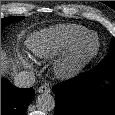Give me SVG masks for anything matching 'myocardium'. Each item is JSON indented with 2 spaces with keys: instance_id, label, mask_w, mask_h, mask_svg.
Masks as SVG:
<instances>
[{
  "instance_id": "myocardium-1",
  "label": "myocardium",
  "mask_w": 115,
  "mask_h": 115,
  "mask_svg": "<svg viewBox=\"0 0 115 115\" xmlns=\"http://www.w3.org/2000/svg\"><path fill=\"white\" fill-rule=\"evenodd\" d=\"M89 39L94 40V46L85 48ZM100 50V39L96 33L87 32L78 38L68 49L66 55L57 64L56 71L60 76H70L78 72L90 61H92Z\"/></svg>"
}]
</instances>
